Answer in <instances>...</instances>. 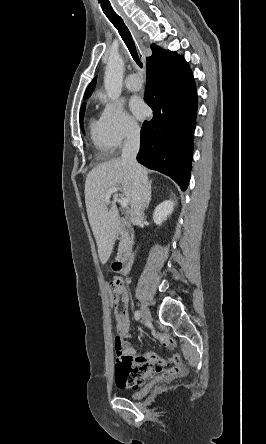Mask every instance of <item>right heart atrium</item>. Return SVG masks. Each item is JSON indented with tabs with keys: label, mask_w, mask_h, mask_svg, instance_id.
<instances>
[{
	"label": "right heart atrium",
	"mask_w": 266,
	"mask_h": 444,
	"mask_svg": "<svg viewBox=\"0 0 266 444\" xmlns=\"http://www.w3.org/2000/svg\"><path fill=\"white\" fill-rule=\"evenodd\" d=\"M105 134L112 148H120L125 142L139 135L138 123L126 112L119 102L105 104L101 115Z\"/></svg>",
	"instance_id": "1"
}]
</instances>
